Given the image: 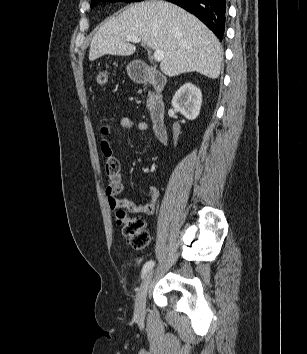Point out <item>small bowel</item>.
I'll return each instance as SVG.
<instances>
[{
  "label": "small bowel",
  "instance_id": "obj_1",
  "mask_svg": "<svg viewBox=\"0 0 307 354\" xmlns=\"http://www.w3.org/2000/svg\"><path fill=\"white\" fill-rule=\"evenodd\" d=\"M119 125L123 129L137 127L139 131L150 133L153 137H156L149 124L144 121L136 122L133 118L122 117L119 121ZM101 132L103 135H108L110 133V127L103 126ZM157 140L161 142L158 138ZM102 151L105 157V168L108 176L106 196L110 207L114 209L116 206H124L134 213L152 214L155 211L160 196L158 189L151 187L148 199L144 203L137 204L130 200L120 199L119 194L123 190V183L120 173V163L114 156L112 143L104 140L102 142Z\"/></svg>",
  "mask_w": 307,
  "mask_h": 354
}]
</instances>
